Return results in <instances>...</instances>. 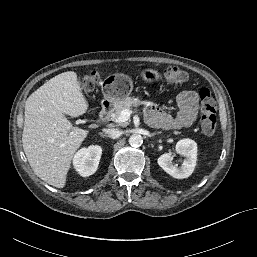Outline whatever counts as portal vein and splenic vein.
<instances>
[{"label": "portal vein and splenic vein", "mask_w": 257, "mask_h": 257, "mask_svg": "<svg viewBox=\"0 0 257 257\" xmlns=\"http://www.w3.org/2000/svg\"><path fill=\"white\" fill-rule=\"evenodd\" d=\"M133 113H134V111L129 110V109H125L120 113L119 117L114 121L116 123H124V122L129 120L131 114H133Z\"/></svg>", "instance_id": "obj_1"}]
</instances>
